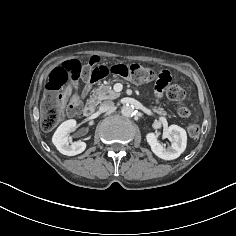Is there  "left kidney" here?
<instances>
[{"instance_id": "5707ae66", "label": "left kidney", "mask_w": 236, "mask_h": 236, "mask_svg": "<svg viewBox=\"0 0 236 236\" xmlns=\"http://www.w3.org/2000/svg\"><path fill=\"white\" fill-rule=\"evenodd\" d=\"M166 133L172 138L171 146L168 148L163 147V145L158 141L157 134L153 132L148 133L146 139L152 152L156 156L164 160H174L186 149L187 134L183 128L177 125L169 126Z\"/></svg>"}]
</instances>
